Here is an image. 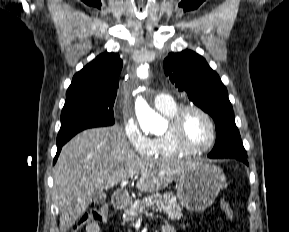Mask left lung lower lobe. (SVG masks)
<instances>
[{
    "label": "left lung lower lobe",
    "instance_id": "0a47b994",
    "mask_svg": "<svg viewBox=\"0 0 289 232\" xmlns=\"http://www.w3.org/2000/svg\"><path fill=\"white\" fill-rule=\"evenodd\" d=\"M227 158H234V159L240 160V161L244 162L246 165H248L246 157L233 156V157H227Z\"/></svg>",
    "mask_w": 289,
    "mask_h": 232
}]
</instances>
